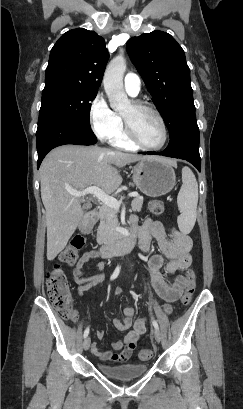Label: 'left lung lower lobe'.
<instances>
[{
    "label": "left lung lower lobe",
    "mask_w": 243,
    "mask_h": 409,
    "mask_svg": "<svg viewBox=\"0 0 243 409\" xmlns=\"http://www.w3.org/2000/svg\"><path fill=\"white\" fill-rule=\"evenodd\" d=\"M199 140L196 116L192 114L182 120L164 151L140 153L184 159L192 163L200 171Z\"/></svg>",
    "instance_id": "0a47b994"
}]
</instances>
